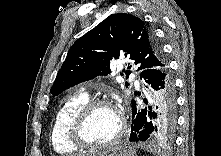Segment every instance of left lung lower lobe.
<instances>
[{"label": "left lung lower lobe", "instance_id": "left-lung-lower-lobe-1", "mask_svg": "<svg viewBox=\"0 0 221 156\" xmlns=\"http://www.w3.org/2000/svg\"><path fill=\"white\" fill-rule=\"evenodd\" d=\"M144 105L132 101V123L129 141L169 139L176 126L174 78L168 64L141 72Z\"/></svg>", "mask_w": 221, "mask_h": 156}]
</instances>
